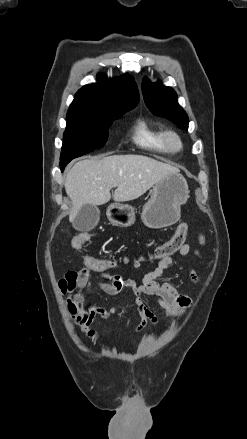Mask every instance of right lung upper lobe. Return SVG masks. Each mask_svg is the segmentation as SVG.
Listing matches in <instances>:
<instances>
[{
	"label": "right lung upper lobe",
	"instance_id": "cb5924a9",
	"mask_svg": "<svg viewBox=\"0 0 247 439\" xmlns=\"http://www.w3.org/2000/svg\"><path fill=\"white\" fill-rule=\"evenodd\" d=\"M99 82L83 86L75 95L68 113L110 114L133 109L139 101L134 78L124 74L110 79L98 75Z\"/></svg>",
	"mask_w": 247,
	"mask_h": 439
}]
</instances>
